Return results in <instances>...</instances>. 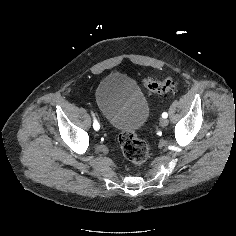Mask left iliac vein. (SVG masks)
Listing matches in <instances>:
<instances>
[{
  "mask_svg": "<svg viewBox=\"0 0 236 236\" xmlns=\"http://www.w3.org/2000/svg\"><path fill=\"white\" fill-rule=\"evenodd\" d=\"M168 123H169V121H168V119H166V118H162V119L160 120V125H161V127H166V126L168 125Z\"/></svg>",
  "mask_w": 236,
  "mask_h": 236,
  "instance_id": "4c4485c4",
  "label": "left iliac vein"
}]
</instances>
